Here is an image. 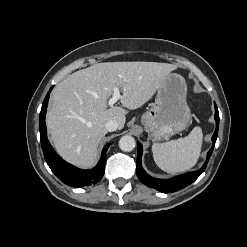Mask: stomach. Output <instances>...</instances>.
Masks as SVG:
<instances>
[{
	"label": "stomach",
	"instance_id": "1",
	"mask_svg": "<svg viewBox=\"0 0 247 247\" xmlns=\"http://www.w3.org/2000/svg\"><path fill=\"white\" fill-rule=\"evenodd\" d=\"M156 91L155 102L142 115L141 122L151 140L163 141L187 128L191 112L186 102L187 85L181 75L169 73Z\"/></svg>",
	"mask_w": 247,
	"mask_h": 247
}]
</instances>
